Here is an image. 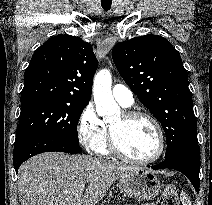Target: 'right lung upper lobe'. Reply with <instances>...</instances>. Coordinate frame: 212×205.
Segmentation results:
<instances>
[{"label": "right lung upper lobe", "mask_w": 212, "mask_h": 205, "mask_svg": "<svg viewBox=\"0 0 212 205\" xmlns=\"http://www.w3.org/2000/svg\"><path fill=\"white\" fill-rule=\"evenodd\" d=\"M97 60L81 38L58 35L35 50L25 70L21 101L52 99L88 104Z\"/></svg>", "instance_id": "cb5924a9"}]
</instances>
